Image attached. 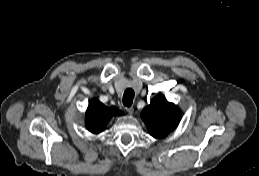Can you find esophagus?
Instances as JSON below:
<instances>
[{
    "instance_id": "34e87169",
    "label": "esophagus",
    "mask_w": 259,
    "mask_h": 176,
    "mask_svg": "<svg viewBox=\"0 0 259 176\" xmlns=\"http://www.w3.org/2000/svg\"><path fill=\"white\" fill-rule=\"evenodd\" d=\"M126 111L128 112V114L132 115L134 112V108L133 107H128L126 108Z\"/></svg>"
}]
</instances>
